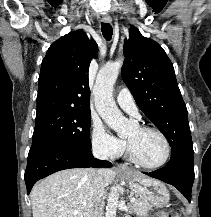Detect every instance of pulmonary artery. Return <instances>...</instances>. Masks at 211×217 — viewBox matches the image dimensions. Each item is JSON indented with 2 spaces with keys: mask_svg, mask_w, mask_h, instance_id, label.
Masks as SVG:
<instances>
[{
  "mask_svg": "<svg viewBox=\"0 0 211 217\" xmlns=\"http://www.w3.org/2000/svg\"><path fill=\"white\" fill-rule=\"evenodd\" d=\"M116 101L120 108L127 112L128 114L139 118L140 114L138 111V107L135 103V100L130 92V90L126 87L120 89L116 96Z\"/></svg>",
  "mask_w": 211,
  "mask_h": 217,
  "instance_id": "1",
  "label": "pulmonary artery"
}]
</instances>
